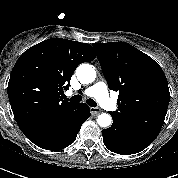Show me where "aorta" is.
<instances>
[{
	"instance_id": "obj_1",
	"label": "aorta",
	"mask_w": 178,
	"mask_h": 178,
	"mask_svg": "<svg viewBox=\"0 0 178 178\" xmlns=\"http://www.w3.org/2000/svg\"><path fill=\"white\" fill-rule=\"evenodd\" d=\"M76 76L81 83L89 84L95 80L96 71L94 66L84 63L76 69ZM97 123L100 127L107 128L112 123V117L109 114L102 113L98 116Z\"/></svg>"
}]
</instances>
